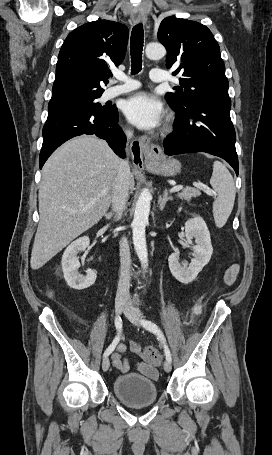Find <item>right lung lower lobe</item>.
Masks as SVG:
<instances>
[{
	"instance_id": "98d812e1",
	"label": "right lung lower lobe",
	"mask_w": 272,
	"mask_h": 455,
	"mask_svg": "<svg viewBox=\"0 0 272 455\" xmlns=\"http://www.w3.org/2000/svg\"><path fill=\"white\" fill-rule=\"evenodd\" d=\"M118 110L110 112L65 111L48 116L43 127V144L39 156L40 169L48 157L65 141L82 134H95L107 141L120 157H125L126 137L117 124Z\"/></svg>"
}]
</instances>
